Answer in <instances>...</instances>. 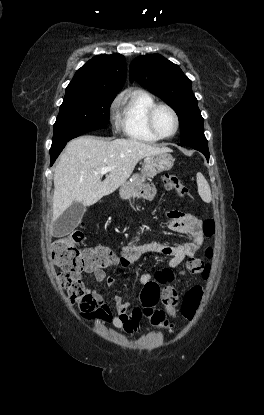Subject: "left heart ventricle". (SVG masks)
Segmentation results:
<instances>
[{
  "instance_id": "left-heart-ventricle-1",
  "label": "left heart ventricle",
  "mask_w": 264,
  "mask_h": 415,
  "mask_svg": "<svg viewBox=\"0 0 264 415\" xmlns=\"http://www.w3.org/2000/svg\"><path fill=\"white\" fill-rule=\"evenodd\" d=\"M155 126L161 135H169L174 131L175 120L172 113L166 108H160L155 114Z\"/></svg>"
}]
</instances>
